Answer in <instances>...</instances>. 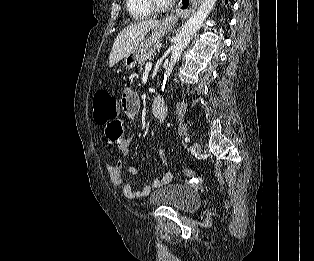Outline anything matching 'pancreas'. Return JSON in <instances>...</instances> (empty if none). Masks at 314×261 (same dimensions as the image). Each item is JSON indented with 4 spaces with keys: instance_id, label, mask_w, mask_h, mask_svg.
I'll return each instance as SVG.
<instances>
[{
    "instance_id": "cf45deb5",
    "label": "pancreas",
    "mask_w": 314,
    "mask_h": 261,
    "mask_svg": "<svg viewBox=\"0 0 314 261\" xmlns=\"http://www.w3.org/2000/svg\"><path fill=\"white\" fill-rule=\"evenodd\" d=\"M156 53V45H153L151 48L146 50L143 55L138 60V67L143 70V66L145 65L147 60H151Z\"/></svg>"
}]
</instances>
